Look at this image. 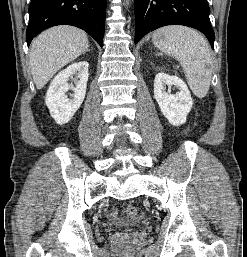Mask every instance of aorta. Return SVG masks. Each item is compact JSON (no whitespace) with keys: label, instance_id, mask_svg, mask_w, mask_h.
I'll return each instance as SVG.
<instances>
[{"label":"aorta","instance_id":"obj_1","mask_svg":"<svg viewBox=\"0 0 247 257\" xmlns=\"http://www.w3.org/2000/svg\"><path fill=\"white\" fill-rule=\"evenodd\" d=\"M125 1V3L128 5L129 4V0H124Z\"/></svg>","mask_w":247,"mask_h":257}]
</instances>
